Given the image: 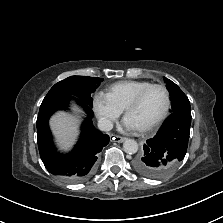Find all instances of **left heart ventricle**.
Masks as SVG:
<instances>
[{
	"mask_svg": "<svg viewBox=\"0 0 223 223\" xmlns=\"http://www.w3.org/2000/svg\"><path fill=\"white\" fill-rule=\"evenodd\" d=\"M165 106V92L160 88H153L143 97L139 105L127 114L126 118L135 129L145 127L161 116Z\"/></svg>",
	"mask_w": 223,
	"mask_h": 223,
	"instance_id": "obj_1",
	"label": "left heart ventricle"
}]
</instances>
